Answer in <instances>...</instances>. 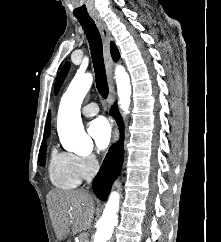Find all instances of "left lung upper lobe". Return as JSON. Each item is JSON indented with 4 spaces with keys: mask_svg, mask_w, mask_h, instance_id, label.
I'll use <instances>...</instances> for the list:
<instances>
[{
    "mask_svg": "<svg viewBox=\"0 0 221 242\" xmlns=\"http://www.w3.org/2000/svg\"><path fill=\"white\" fill-rule=\"evenodd\" d=\"M69 63L67 62L63 68L61 69V72H60V75L58 77V80L56 82V86H55V93L58 92L60 86H61V83L63 82L64 78H65V75L67 74L68 70H69Z\"/></svg>",
    "mask_w": 221,
    "mask_h": 242,
    "instance_id": "1",
    "label": "left lung upper lobe"
}]
</instances>
